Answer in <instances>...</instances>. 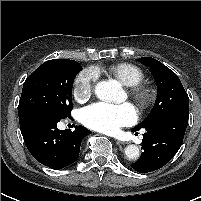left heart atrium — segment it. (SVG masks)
<instances>
[{
  "mask_svg": "<svg viewBox=\"0 0 201 201\" xmlns=\"http://www.w3.org/2000/svg\"><path fill=\"white\" fill-rule=\"evenodd\" d=\"M136 119L137 112L130 103L115 105L98 102L81 112V120L87 127L108 134L116 133L121 127L133 124Z\"/></svg>",
  "mask_w": 201,
  "mask_h": 201,
  "instance_id": "1",
  "label": "left heart atrium"
}]
</instances>
